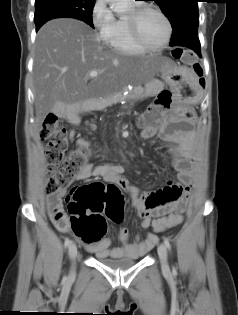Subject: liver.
<instances>
[{"instance_id": "obj_1", "label": "liver", "mask_w": 238, "mask_h": 315, "mask_svg": "<svg viewBox=\"0 0 238 315\" xmlns=\"http://www.w3.org/2000/svg\"><path fill=\"white\" fill-rule=\"evenodd\" d=\"M164 66L161 56H127L100 44L84 22L48 21L35 42L33 82L37 132L45 117H65L89 100L106 99L127 85L147 84ZM91 71L98 76L90 77ZM90 82L88 83V81Z\"/></svg>"}]
</instances>
